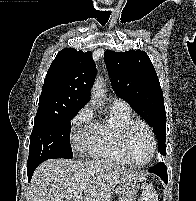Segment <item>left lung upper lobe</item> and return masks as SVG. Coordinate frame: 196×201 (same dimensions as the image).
<instances>
[{
    "instance_id": "obj_1",
    "label": "left lung upper lobe",
    "mask_w": 196,
    "mask_h": 201,
    "mask_svg": "<svg viewBox=\"0 0 196 201\" xmlns=\"http://www.w3.org/2000/svg\"><path fill=\"white\" fill-rule=\"evenodd\" d=\"M104 60L118 97L153 128L160 156L166 155V113L163 93L153 64L144 51L106 50Z\"/></svg>"
}]
</instances>
